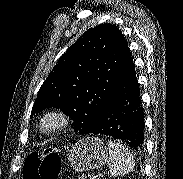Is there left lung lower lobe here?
Masks as SVG:
<instances>
[{"mask_svg":"<svg viewBox=\"0 0 183 179\" xmlns=\"http://www.w3.org/2000/svg\"><path fill=\"white\" fill-rule=\"evenodd\" d=\"M89 134H100L121 140L136 151L142 149L144 113L139 84L128 45L111 101Z\"/></svg>","mask_w":183,"mask_h":179,"instance_id":"1","label":"left lung lower lobe"}]
</instances>
